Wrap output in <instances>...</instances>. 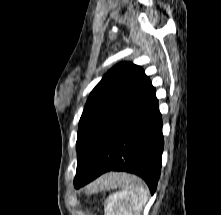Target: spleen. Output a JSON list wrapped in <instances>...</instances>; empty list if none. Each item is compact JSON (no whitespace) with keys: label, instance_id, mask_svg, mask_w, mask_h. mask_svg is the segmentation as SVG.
<instances>
[{"label":"spleen","instance_id":"obj_1","mask_svg":"<svg viewBox=\"0 0 221 215\" xmlns=\"http://www.w3.org/2000/svg\"><path fill=\"white\" fill-rule=\"evenodd\" d=\"M108 188H119L105 204V215H140L148 201L149 191L136 177L113 173Z\"/></svg>","mask_w":221,"mask_h":215}]
</instances>
